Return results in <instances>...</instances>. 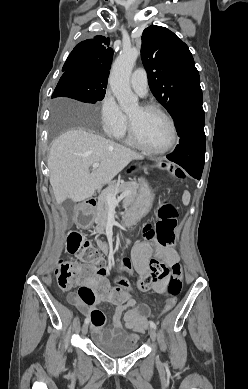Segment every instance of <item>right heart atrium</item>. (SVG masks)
Listing matches in <instances>:
<instances>
[{
	"instance_id": "obj_1",
	"label": "right heart atrium",
	"mask_w": 248,
	"mask_h": 389,
	"mask_svg": "<svg viewBox=\"0 0 248 389\" xmlns=\"http://www.w3.org/2000/svg\"><path fill=\"white\" fill-rule=\"evenodd\" d=\"M100 120L103 131L113 137L118 136L127 125L126 115L109 91L105 92L100 102Z\"/></svg>"
}]
</instances>
